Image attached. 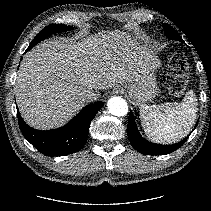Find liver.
<instances>
[{
  "mask_svg": "<svg viewBox=\"0 0 211 211\" xmlns=\"http://www.w3.org/2000/svg\"><path fill=\"white\" fill-rule=\"evenodd\" d=\"M150 53L120 30L79 41L41 42L25 55L18 71L15 95L22 118L41 130L63 126L85 106L84 92L132 83Z\"/></svg>",
  "mask_w": 211,
  "mask_h": 211,
  "instance_id": "1",
  "label": "liver"
}]
</instances>
